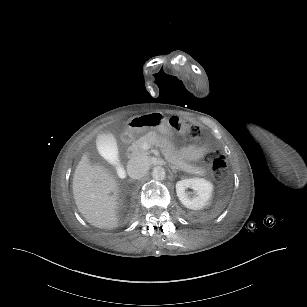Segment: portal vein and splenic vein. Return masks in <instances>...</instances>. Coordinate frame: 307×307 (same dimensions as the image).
<instances>
[{
    "instance_id": "portal-vein-and-splenic-vein-1",
    "label": "portal vein and splenic vein",
    "mask_w": 307,
    "mask_h": 307,
    "mask_svg": "<svg viewBox=\"0 0 307 307\" xmlns=\"http://www.w3.org/2000/svg\"><path fill=\"white\" fill-rule=\"evenodd\" d=\"M150 148V145L148 143H145L143 145L142 151L148 150Z\"/></svg>"
}]
</instances>
